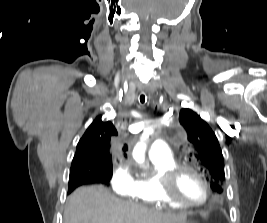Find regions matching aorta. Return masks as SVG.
I'll list each match as a JSON object with an SVG mask.
<instances>
[{
  "label": "aorta",
  "instance_id": "obj_1",
  "mask_svg": "<svg viewBox=\"0 0 267 223\" xmlns=\"http://www.w3.org/2000/svg\"><path fill=\"white\" fill-rule=\"evenodd\" d=\"M152 133V129H147L144 131L140 141L135 145L132 156L134 160L138 163H143L145 160V151H146V143L145 140Z\"/></svg>",
  "mask_w": 267,
  "mask_h": 223
}]
</instances>
